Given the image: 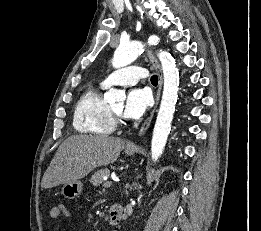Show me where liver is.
I'll return each instance as SVG.
<instances>
[{
    "label": "liver",
    "mask_w": 261,
    "mask_h": 231,
    "mask_svg": "<svg viewBox=\"0 0 261 231\" xmlns=\"http://www.w3.org/2000/svg\"><path fill=\"white\" fill-rule=\"evenodd\" d=\"M121 138L107 135H74L58 148L42 178V188H52L85 177L99 166L115 162L123 150Z\"/></svg>",
    "instance_id": "1"
}]
</instances>
